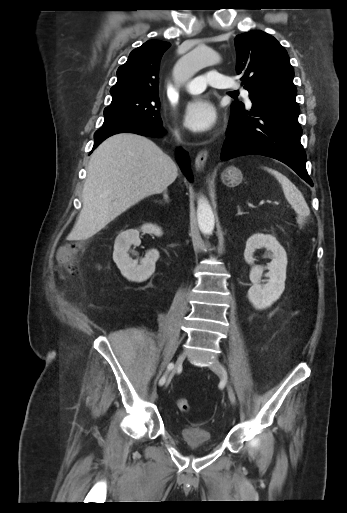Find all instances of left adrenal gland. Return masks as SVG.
<instances>
[{
	"label": "left adrenal gland",
	"mask_w": 347,
	"mask_h": 513,
	"mask_svg": "<svg viewBox=\"0 0 347 513\" xmlns=\"http://www.w3.org/2000/svg\"><path fill=\"white\" fill-rule=\"evenodd\" d=\"M242 214H243V212L241 211V207L239 205H237V214L236 215L239 216Z\"/></svg>",
	"instance_id": "left-adrenal-gland-1"
}]
</instances>
